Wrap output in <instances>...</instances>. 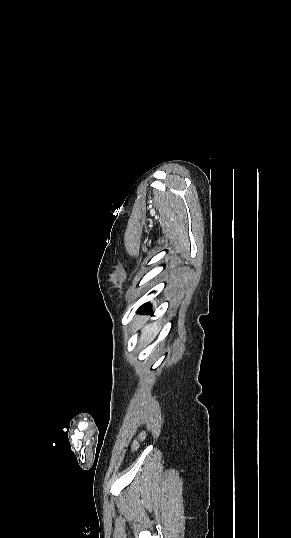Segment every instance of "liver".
Here are the masks:
<instances>
[{
    "label": "liver",
    "mask_w": 291,
    "mask_h": 538,
    "mask_svg": "<svg viewBox=\"0 0 291 538\" xmlns=\"http://www.w3.org/2000/svg\"><path fill=\"white\" fill-rule=\"evenodd\" d=\"M145 321L146 319H141L140 322L138 323V326L141 327L145 323ZM158 330H159V324L154 323L150 326H146L143 329L141 341H145V342L150 341L157 334Z\"/></svg>",
    "instance_id": "1"
}]
</instances>
